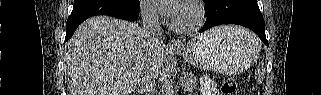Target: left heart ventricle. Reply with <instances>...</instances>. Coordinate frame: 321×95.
Listing matches in <instances>:
<instances>
[{
  "label": "left heart ventricle",
  "mask_w": 321,
  "mask_h": 95,
  "mask_svg": "<svg viewBox=\"0 0 321 95\" xmlns=\"http://www.w3.org/2000/svg\"><path fill=\"white\" fill-rule=\"evenodd\" d=\"M174 19L182 26L189 25L193 19V13L189 9L183 8V10Z\"/></svg>",
  "instance_id": "obj_1"
}]
</instances>
